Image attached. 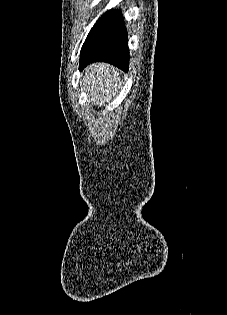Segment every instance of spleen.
<instances>
[{"label": "spleen", "mask_w": 227, "mask_h": 315, "mask_svg": "<svg viewBox=\"0 0 227 315\" xmlns=\"http://www.w3.org/2000/svg\"><path fill=\"white\" fill-rule=\"evenodd\" d=\"M87 79L89 97L99 105L115 98L121 87L118 70L110 65H93Z\"/></svg>", "instance_id": "spleen-1"}]
</instances>
